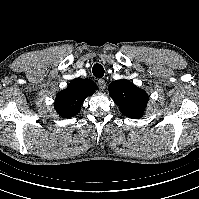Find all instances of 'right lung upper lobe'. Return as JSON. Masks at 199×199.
Masks as SVG:
<instances>
[{"label":"right lung upper lobe","mask_w":199,"mask_h":199,"mask_svg":"<svg viewBox=\"0 0 199 199\" xmlns=\"http://www.w3.org/2000/svg\"><path fill=\"white\" fill-rule=\"evenodd\" d=\"M96 89L97 85L89 79L76 78L72 80L66 89L57 94L56 111L63 118L75 116L81 109L85 98L92 95Z\"/></svg>","instance_id":"cb5924a9"}]
</instances>
